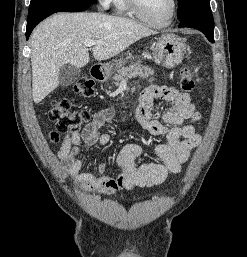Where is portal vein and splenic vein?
<instances>
[{
  "instance_id": "18ae733b",
  "label": "portal vein and splenic vein",
  "mask_w": 247,
  "mask_h": 257,
  "mask_svg": "<svg viewBox=\"0 0 247 257\" xmlns=\"http://www.w3.org/2000/svg\"><path fill=\"white\" fill-rule=\"evenodd\" d=\"M97 43H102V42H99V41H94V40H85L84 41V46L85 47H92L93 45L97 44Z\"/></svg>"
}]
</instances>
